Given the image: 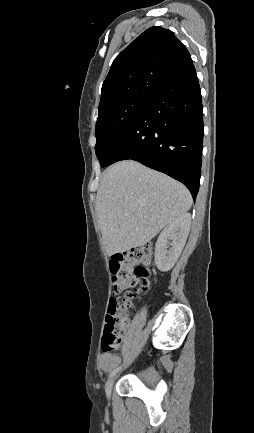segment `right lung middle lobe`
<instances>
[{"label": "right lung middle lobe", "instance_id": "right-lung-middle-lobe-1", "mask_svg": "<svg viewBox=\"0 0 254 433\" xmlns=\"http://www.w3.org/2000/svg\"><path fill=\"white\" fill-rule=\"evenodd\" d=\"M149 100L127 99L98 110L95 151L102 167L107 166L114 148Z\"/></svg>", "mask_w": 254, "mask_h": 433}]
</instances>
